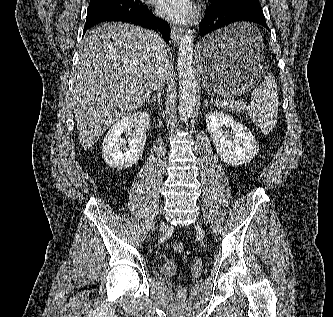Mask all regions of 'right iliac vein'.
<instances>
[{
    "label": "right iliac vein",
    "mask_w": 333,
    "mask_h": 317,
    "mask_svg": "<svg viewBox=\"0 0 333 317\" xmlns=\"http://www.w3.org/2000/svg\"><path fill=\"white\" fill-rule=\"evenodd\" d=\"M167 230V225L165 222L160 224V233H164Z\"/></svg>",
    "instance_id": "obj_1"
}]
</instances>
